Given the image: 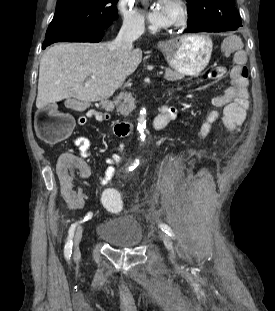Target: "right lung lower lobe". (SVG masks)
<instances>
[{
	"instance_id": "98d812e1",
	"label": "right lung lower lobe",
	"mask_w": 275,
	"mask_h": 311,
	"mask_svg": "<svg viewBox=\"0 0 275 311\" xmlns=\"http://www.w3.org/2000/svg\"><path fill=\"white\" fill-rule=\"evenodd\" d=\"M107 28H100V27H93L87 28L83 30L74 31L69 34H65L60 37H56L53 39H48L44 41L42 45V49H45L48 45L57 42H99L102 38L104 33L109 29Z\"/></svg>"
}]
</instances>
